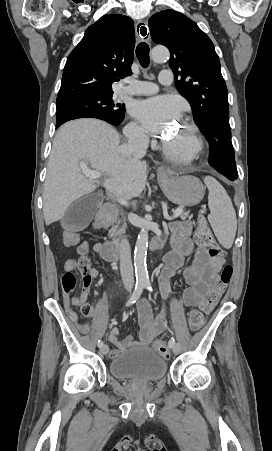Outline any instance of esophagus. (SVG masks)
Listing matches in <instances>:
<instances>
[{"label": "esophagus", "mask_w": 272, "mask_h": 451, "mask_svg": "<svg viewBox=\"0 0 272 451\" xmlns=\"http://www.w3.org/2000/svg\"><path fill=\"white\" fill-rule=\"evenodd\" d=\"M137 27H138V34H139L140 37L145 38V39L149 38L148 31H147L146 27L143 25V21L142 20L138 21ZM142 27H145V28H142ZM159 170L161 172H163L164 174H166L167 169H166L165 166H160Z\"/></svg>", "instance_id": "1"}]
</instances>
